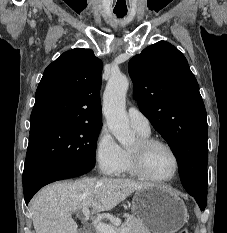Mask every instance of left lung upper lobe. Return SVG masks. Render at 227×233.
Returning <instances> with one entry per match:
<instances>
[{
    "label": "left lung upper lobe",
    "mask_w": 227,
    "mask_h": 233,
    "mask_svg": "<svg viewBox=\"0 0 227 233\" xmlns=\"http://www.w3.org/2000/svg\"><path fill=\"white\" fill-rule=\"evenodd\" d=\"M134 98L168 142L189 194L207 196V115L199 86L184 55L166 41L129 61Z\"/></svg>",
    "instance_id": "obj_1"
}]
</instances>
